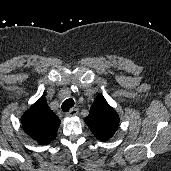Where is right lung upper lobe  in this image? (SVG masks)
I'll use <instances>...</instances> for the list:
<instances>
[{
    "label": "right lung upper lobe",
    "mask_w": 171,
    "mask_h": 171,
    "mask_svg": "<svg viewBox=\"0 0 171 171\" xmlns=\"http://www.w3.org/2000/svg\"><path fill=\"white\" fill-rule=\"evenodd\" d=\"M21 122L25 133L40 144L54 140L60 124L44 98H40L23 114Z\"/></svg>",
    "instance_id": "1"
}]
</instances>
